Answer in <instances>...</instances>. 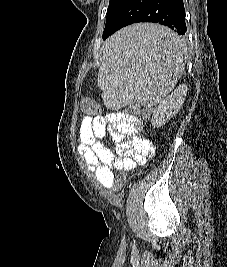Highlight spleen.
<instances>
[{
    "mask_svg": "<svg viewBox=\"0 0 227 267\" xmlns=\"http://www.w3.org/2000/svg\"><path fill=\"white\" fill-rule=\"evenodd\" d=\"M103 43L100 105H122L134 98L159 102L175 86L185 67V45L180 37L160 22H132ZM141 102V101H140ZM112 111V106H105Z\"/></svg>",
    "mask_w": 227,
    "mask_h": 267,
    "instance_id": "spleen-1",
    "label": "spleen"
}]
</instances>
